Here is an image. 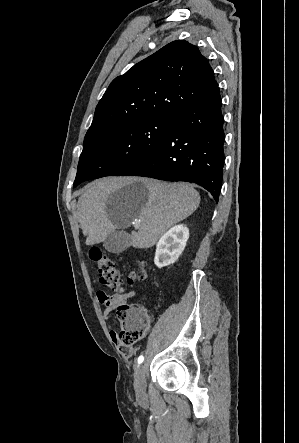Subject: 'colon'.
<instances>
[{"instance_id":"obj_1","label":"colon","mask_w":299,"mask_h":443,"mask_svg":"<svg viewBox=\"0 0 299 443\" xmlns=\"http://www.w3.org/2000/svg\"><path fill=\"white\" fill-rule=\"evenodd\" d=\"M90 258L97 264L100 282L115 290L122 291V280L114 262L97 247L89 251ZM148 272L144 266L137 271H132L127 277L128 284L137 280H145ZM117 318L120 323L119 343L120 351L125 356L131 354V347L144 339L152 324V318L144 306L139 303L120 304L116 308Z\"/></svg>"}]
</instances>
